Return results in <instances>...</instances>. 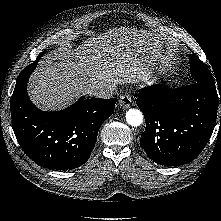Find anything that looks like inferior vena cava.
Segmentation results:
<instances>
[{"label": "inferior vena cava", "mask_w": 221, "mask_h": 221, "mask_svg": "<svg viewBox=\"0 0 221 221\" xmlns=\"http://www.w3.org/2000/svg\"><path fill=\"white\" fill-rule=\"evenodd\" d=\"M115 89L114 88H104V87H96L92 90L89 91L90 95H93L97 98H104V99H108L111 98L113 96V91Z\"/></svg>", "instance_id": "602c4592"}]
</instances>
